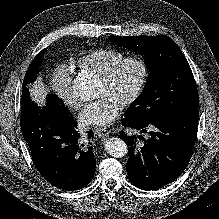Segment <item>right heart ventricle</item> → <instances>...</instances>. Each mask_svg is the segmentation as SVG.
Listing matches in <instances>:
<instances>
[{"instance_id":"e07e8e85","label":"right heart ventricle","mask_w":219,"mask_h":219,"mask_svg":"<svg viewBox=\"0 0 219 219\" xmlns=\"http://www.w3.org/2000/svg\"><path fill=\"white\" fill-rule=\"evenodd\" d=\"M124 57L125 54L119 50L111 48H97L89 52L79 54L73 59V64L83 71H88L101 76Z\"/></svg>"}]
</instances>
